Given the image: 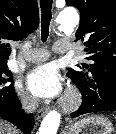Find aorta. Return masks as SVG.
<instances>
[{
    "label": "aorta",
    "instance_id": "762f6f07",
    "mask_svg": "<svg viewBox=\"0 0 116 134\" xmlns=\"http://www.w3.org/2000/svg\"><path fill=\"white\" fill-rule=\"evenodd\" d=\"M79 21V15L73 8L64 9L58 17V29L60 31L74 28ZM61 116L56 110L50 111L43 119L39 134H56Z\"/></svg>",
    "mask_w": 116,
    "mask_h": 134
}]
</instances>
